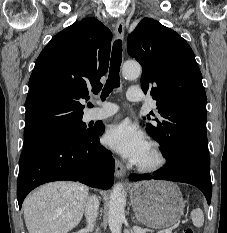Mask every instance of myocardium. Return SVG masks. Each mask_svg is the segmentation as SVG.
I'll list each match as a JSON object with an SVG mask.
<instances>
[{
  "mask_svg": "<svg viewBox=\"0 0 227 233\" xmlns=\"http://www.w3.org/2000/svg\"><path fill=\"white\" fill-rule=\"evenodd\" d=\"M154 155V161L149 164L136 163V169L144 174H153L162 170L167 164V156L162 146L156 141L148 143Z\"/></svg>",
  "mask_w": 227,
  "mask_h": 233,
  "instance_id": "1",
  "label": "myocardium"
}]
</instances>
